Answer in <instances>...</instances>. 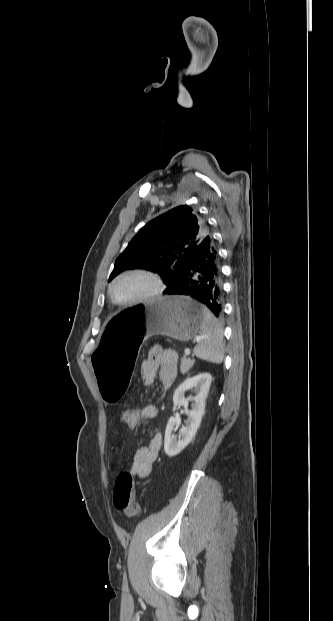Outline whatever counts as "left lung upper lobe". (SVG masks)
<instances>
[{
    "label": "left lung upper lobe",
    "instance_id": "5c2ea615",
    "mask_svg": "<svg viewBox=\"0 0 333 621\" xmlns=\"http://www.w3.org/2000/svg\"><path fill=\"white\" fill-rule=\"evenodd\" d=\"M208 235L207 222L196 210L178 206L139 230L117 258L109 281L126 269L140 268L158 273L168 288L179 279L186 262Z\"/></svg>",
    "mask_w": 333,
    "mask_h": 621
}]
</instances>
